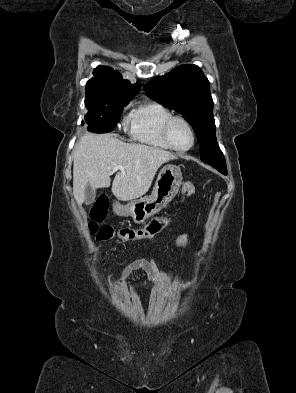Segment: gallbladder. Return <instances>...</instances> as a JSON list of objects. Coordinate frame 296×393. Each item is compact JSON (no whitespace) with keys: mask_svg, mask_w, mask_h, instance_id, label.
<instances>
[{"mask_svg":"<svg viewBox=\"0 0 296 393\" xmlns=\"http://www.w3.org/2000/svg\"><path fill=\"white\" fill-rule=\"evenodd\" d=\"M85 203L87 205H90L94 202L95 197H96V192L95 190H92L90 187H87L85 190Z\"/></svg>","mask_w":296,"mask_h":393,"instance_id":"bac80fb5","label":"gallbladder"}]
</instances>
